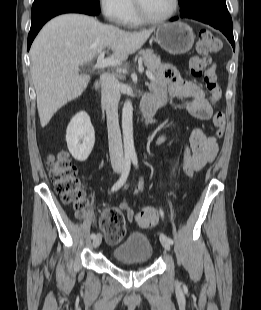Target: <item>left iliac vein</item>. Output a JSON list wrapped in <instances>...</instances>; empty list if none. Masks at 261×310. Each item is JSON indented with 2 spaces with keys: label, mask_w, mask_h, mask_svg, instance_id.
Wrapping results in <instances>:
<instances>
[{
  "label": "left iliac vein",
  "mask_w": 261,
  "mask_h": 310,
  "mask_svg": "<svg viewBox=\"0 0 261 310\" xmlns=\"http://www.w3.org/2000/svg\"><path fill=\"white\" fill-rule=\"evenodd\" d=\"M160 242L162 244V246L166 249V250H170L171 248V243L168 241L167 237L163 234L160 235Z\"/></svg>",
  "instance_id": "4c4485c4"
}]
</instances>
